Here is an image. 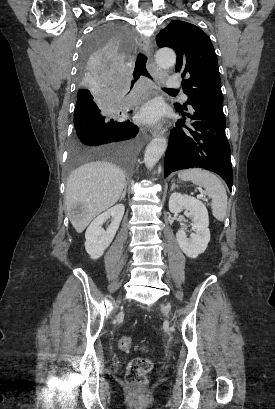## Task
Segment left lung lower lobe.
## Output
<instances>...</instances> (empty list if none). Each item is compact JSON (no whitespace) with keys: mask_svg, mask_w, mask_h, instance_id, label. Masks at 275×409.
Instances as JSON below:
<instances>
[{"mask_svg":"<svg viewBox=\"0 0 275 409\" xmlns=\"http://www.w3.org/2000/svg\"><path fill=\"white\" fill-rule=\"evenodd\" d=\"M177 111L182 119L170 134L164 177L177 170L200 167L220 175L231 191L233 172L223 108L192 105L187 111ZM186 117L194 121L191 128L185 125Z\"/></svg>","mask_w":275,"mask_h":409,"instance_id":"1","label":"left lung lower lobe"}]
</instances>
